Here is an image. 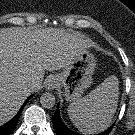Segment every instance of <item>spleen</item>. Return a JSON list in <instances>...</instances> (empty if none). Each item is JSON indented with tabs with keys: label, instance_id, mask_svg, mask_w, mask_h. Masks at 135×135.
Instances as JSON below:
<instances>
[{
	"label": "spleen",
	"instance_id": "1",
	"mask_svg": "<svg viewBox=\"0 0 135 135\" xmlns=\"http://www.w3.org/2000/svg\"><path fill=\"white\" fill-rule=\"evenodd\" d=\"M119 81L109 76L88 95L70 103L68 115L79 130L93 134L104 131L117 109Z\"/></svg>",
	"mask_w": 135,
	"mask_h": 135
}]
</instances>
